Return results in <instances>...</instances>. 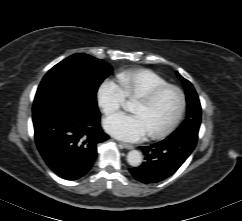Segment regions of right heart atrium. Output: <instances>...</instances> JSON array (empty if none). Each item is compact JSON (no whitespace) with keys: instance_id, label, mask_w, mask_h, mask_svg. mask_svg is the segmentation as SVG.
Listing matches in <instances>:
<instances>
[{"instance_id":"d8ad5b80","label":"right heart atrium","mask_w":242,"mask_h":221,"mask_svg":"<svg viewBox=\"0 0 242 221\" xmlns=\"http://www.w3.org/2000/svg\"><path fill=\"white\" fill-rule=\"evenodd\" d=\"M96 100L103 113L110 115L124 105L126 95L118 83L114 80L106 79L97 88Z\"/></svg>"}]
</instances>
